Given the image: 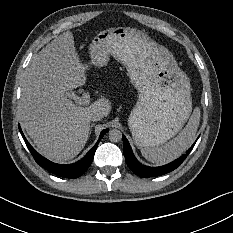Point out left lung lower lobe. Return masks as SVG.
I'll list each match as a JSON object with an SVG mask.
<instances>
[{"instance_id": "1", "label": "left lung lower lobe", "mask_w": 233, "mask_h": 233, "mask_svg": "<svg viewBox=\"0 0 233 233\" xmlns=\"http://www.w3.org/2000/svg\"><path fill=\"white\" fill-rule=\"evenodd\" d=\"M197 141V140H196ZM195 141V143H196ZM195 143L189 148L187 153L185 155H182L180 158L176 159L175 161L166 164L164 166L160 167H149L142 165L134 156L131 146L126 139V137L123 135V153L125 156L126 163L128 167L138 176L140 177H156L163 174H166L177 167L181 165V163L185 160V158L188 156L190 151L192 150Z\"/></svg>"}]
</instances>
